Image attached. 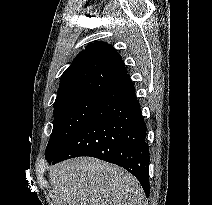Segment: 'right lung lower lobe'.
Masks as SVG:
<instances>
[{"label": "right lung lower lobe", "mask_w": 212, "mask_h": 205, "mask_svg": "<svg viewBox=\"0 0 212 205\" xmlns=\"http://www.w3.org/2000/svg\"><path fill=\"white\" fill-rule=\"evenodd\" d=\"M146 130L134 85L126 74L102 93L89 118L48 162L92 156L119 165L139 180L148 197L150 158Z\"/></svg>", "instance_id": "98d812e1"}]
</instances>
